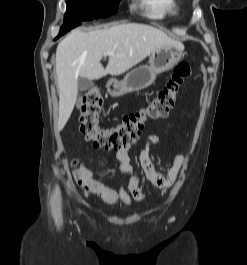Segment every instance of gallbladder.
Listing matches in <instances>:
<instances>
[{
    "instance_id": "1",
    "label": "gallbladder",
    "mask_w": 247,
    "mask_h": 265,
    "mask_svg": "<svg viewBox=\"0 0 247 265\" xmlns=\"http://www.w3.org/2000/svg\"><path fill=\"white\" fill-rule=\"evenodd\" d=\"M93 85H94L93 81L88 79V78H85V77H79L78 78V89L80 91L88 90V89L92 88Z\"/></svg>"
}]
</instances>
